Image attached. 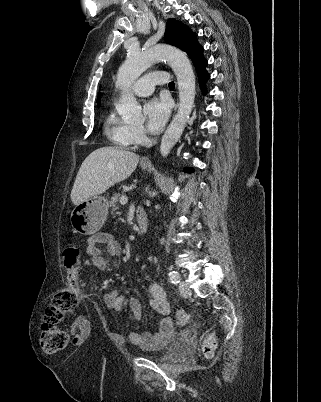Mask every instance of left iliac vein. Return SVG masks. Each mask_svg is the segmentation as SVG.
I'll list each match as a JSON object with an SVG mask.
<instances>
[{"instance_id": "4c4485c4", "label": "left iliac vein", "mask_w": 321, "mask_h": 402, "mask_svg": "<svg viewBox=\"0 0 321 402\" xmlns=\"http://www.w3.org/2000/svg\"><path fill=\"white\" fill-rule=\"evenodd\" d=\"M178 288H179V292H180L181 296L189 297L191 295V290H190L188 284L185 283L184 281H181L179 283Z\"/></svg>"}]
</instances>
